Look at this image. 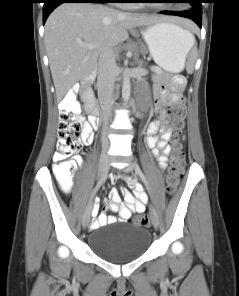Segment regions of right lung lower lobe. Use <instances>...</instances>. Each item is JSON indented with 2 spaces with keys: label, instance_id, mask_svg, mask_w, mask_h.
<instances>
[{
  "label": "right lung lower lobe",
  "instance_id": "98d812e1",
  "mask_svg": "<svg viewBox=\"0 0 239 296\" xmlns=\"http://www.w3.org/2000/svg\"><path fill=\"white\" fill-rule=\"evenodd\" d=\"M109 0H43V23L49 14L62 3H108Z\"/></svg>",
  "mask_w": 239,
  "mask_h": 296
}]
</instances>
